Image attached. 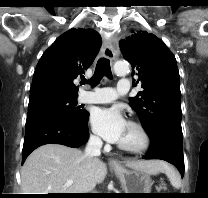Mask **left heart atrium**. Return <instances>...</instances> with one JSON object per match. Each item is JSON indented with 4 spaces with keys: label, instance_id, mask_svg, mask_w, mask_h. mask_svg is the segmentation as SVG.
<instances>
[{
    "label": "left heart atrium",
    "instance_id": "obj_1",
    "mask_svg": "<svg viewBox=\"0 0 208 198\" xmlns=\"http://www.w3.org/2000/svg\"><path fill=\"white\" fill-rule=\"evenodd\" d=\"M92 128L105 140L119 142L127 126V121L120 108H96L90 117Z\"/></svg>",
    "mask_w": 208,
    "mask_h": 198
}]
</instances>
